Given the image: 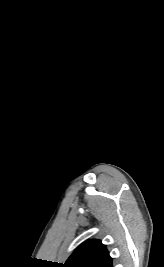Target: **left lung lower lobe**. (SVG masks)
Wrapping results in <instances>:
<instances>
[{"mask_svg":"<svg viewBox=\"0 0 164 267\" xmlns=\"http://www.w3.org/2000/svg\"><path fill=\"white\" fill-rule=\"evenodd\" d=\"M108 267H112V263Z\"/></svg>","mask_w":164,"mask_h":267,"instance_id":"1","label":"left lung lower lobe"}]
</instances>
